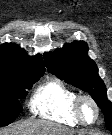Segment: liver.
<instances>
[{
    "label": "liver",
    "instance_id": "liver-1",
    "mask_svg": "<svg viewBox=\"0 0 112 135\" xmlns=\"http://www.w3.org/2000/svg\"><path fill=\"white\" fill-rule=\"evenodd\" d=\"M71 132L61 126L46 121L27 120L15 126L9 132L0 135H70Z\"/></svg>",
    "mask_w": 112,
    "mask_h": 135
}]
</instances>
